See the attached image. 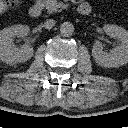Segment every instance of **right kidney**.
Here are the masks:
<instances>
[{"label":"right kidney","instance_id":"1","mask_svg":"<svg viewBox=\"0 0 128 128\" xmlns=\"http://www.w3.org/2000/svg\"><path fill=\"white\" fill-rule=\"evenodd\" d=\"M29 31V27L22 24L13 25L0 31V60L13 65L30 59L33 56L31 45L24 44L18 48L12 43L13 37L27 36Z\"/></svg>","mask_w":128,"mask_h":128}]
</instances>
